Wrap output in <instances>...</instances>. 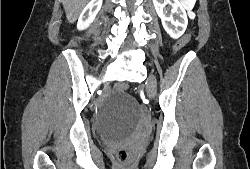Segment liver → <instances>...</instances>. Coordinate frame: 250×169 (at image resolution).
I'll list each match as a JSON object with an SVG mask.
<instances>
[{"instance_id":"obj_1","label":"liver","mask_w":250,"mask_h":169,"mask_svg":"<svg viewBox=\"0 0 250 169\" xmlns=\"http://www.w3.org/2000/svg\"><path fill=\"white\" fill-rule=\"evenodd\" d=\"M68 22H75L89 0H61Z\"/></svg>"}]
</instances>
